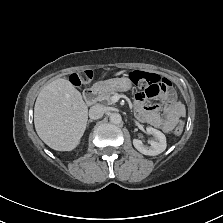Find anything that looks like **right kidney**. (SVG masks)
<instances>
[{
  "label": "right kidney",
  "instance_id": "ca27d5eb",
  "mask_svg": "<svg viewBox=\"0 0 223 223\" xmlns=\"http://www.w3.org/2000/svg\"><path fill=\"white\" fill-rule=\"evenodd\" d=\"M80 143H82V141H81V140L78 142V144H80Z\"/></svg>",
  "mask_w": 223,
  "mask_h": 223
}]
</instances>
